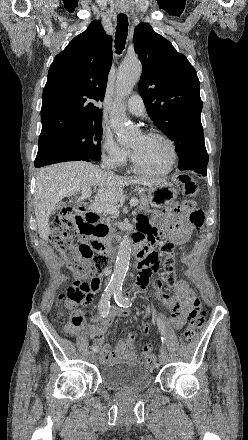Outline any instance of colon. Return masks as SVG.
I'll use <instances>...</instances> for the list:
<instances>
[{
	"instance_id": "5ec220e1",
	"label": "colon",
	"mask_w": 248,
	"mask_h": 440,
	"mask_svg": "<svg viewBox=\"0 0 248 440\" xmlns=\"http://www.w3.org/2000/svg\"><path fill=\"white\" fill-rule=\"evenodd\" d=\"M179 180L184 186L186 196L197 194L198 186L196 182L187 175H181ZM188 214V223L192 229L199 230L204 224V214L195 208L193 202L187 201L183 205ZM83 216L71 206H64L57 214L51 234L52 242L64 259L67 268L73 272L76 279L67 288L65 293L59 296V305L65 309H72L77 306H87L91 303L93 293L96 289L95 279L88 276L96 271L97 267H107V258L93 244L82 242L78 245L74 239L82 231ZM186 235H179L171 239H166L161 243V254L163 258L174 257L176 245L185 241ZM158 256V255H157ZM159 257V256H158ZM102 273V272H101ZM189 324L182 334L185 342H191L201 331L205 323V314L201 311L193 310L189 314ZM74 326L84 323L82 315L74 314L71 318ZM143 334L148 335L151 327L145 325ZM143 361L146 366L154 368L157 365L156 355L150 344L143 346Z\"/></svg>"
}]
</instances>
